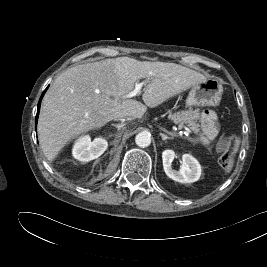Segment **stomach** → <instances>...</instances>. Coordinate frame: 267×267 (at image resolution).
Instances as JSON below:
<instances>
[{
	"mask_svg": "<svg viewBox=\"0 0 267 267\" xmlns=\"http://www.w3.org/2000/svg\"><path fill=\"white\" fill-rule=\"evenodd\" d=\"M223 86L217 78H206L192 86L186 106H217L220 103Z\"/></svg>",
	"mask_w": 267,
	"mask_h": 267,
	"instance_id": "0dacf381",
	"label": "stomach"
}]
</instances>
